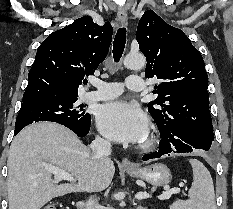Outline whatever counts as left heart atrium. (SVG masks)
Listing matches in <instances>:
<instances>
[{"mask_svg":"<svg viewBox=\"0 0 233 209\" xmlns=\"http://www.w3.org/2000/svg\"><path fill=\"white\" fill-rule=\"evenodd\" d=\"M96 122L99 130L115 141L138 142L145 138L148 130L147 117L141 108L123 100L101 105Z\"/></svg>","mask_w":233,"mask_h":209,"instance_id":"obj_1","label":"left heart atrium"}]
</instances>
